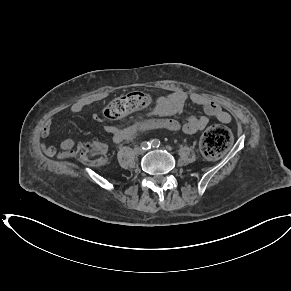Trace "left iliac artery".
<instances>
[{"label":"left iliac artery","mask_w":291,"mask_h":291,"mask_svg":"<svg viewBox=\"0 0 291 291\" xmlns=\"http://www.w3.org/2000/svg\"><path fill=\"white\" fill-rule=\"evenodd\" d=\"M151 145H152V147H159L160 146V141L158 140V139H153L152 141H151Z\"/></svg>","instance_id":"44dca946"}]
</instances>
